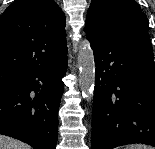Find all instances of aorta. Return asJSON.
Wrapping results in <instances>:
<instances>
[{
  "label": "aorta",
  "instance_id": "762f6f07",
  "mask_svg": "<svg viewBox=\"0 0 155 149\" xmlns=\"http://www.w3.org/2000/svg\"><path fill=\"white\" fill-rule=\"evenodd\" d=\"M80 69L79 86L82 94L91 101L95 85V62L91 45L88 41L82 43L78 54Z\"/></svg>",
  "mask_w": 155,
  "mask_h": 149
}]
</instances>
